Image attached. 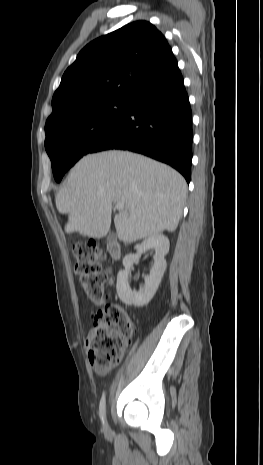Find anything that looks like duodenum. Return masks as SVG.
<instances>
[{
  "label": "duodenum",
  "mask_w": 263,
  "mask_h": 465,
  "mask_svg": "<svg viewBox=\"0 0 263 465\" xmlns=\"http://www.w3.org/2000/svg\"><path fill=\"white\" fill-rule=\"evenodd\" d=\"M108 252L112 259H119L121 255V248L120 245L116 242H112L108 244Z\"/></svg>",
  "instance_id": "410a0bca"
}]
</instances>
